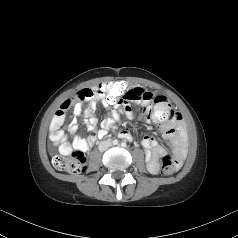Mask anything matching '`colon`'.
Returning a JSON list of instances; mask_svg holds the SVG:
<instances>
[{"mask_svg":"<svg viewBox=\"0 0 238 238\" xmlns=\"http://www.w3.org/2000/svg\"><path fill=\"white\" fill-rule=\"evenodd\" d=\"M127 91L128 87L122 80H103V84L78 91L72 100L84 101L95 96H102L107 99L108 103H119ZM149 114L157 122H167L175 116L171 104L164 96L154 97L153 109L149 111ZM53 165L60 171L80 174L85 170L86 159L81 151H74L65 156H55ZM177 167L178 162L174 157L170 154L163 156L160 168L161 174L170 175L176 171Z\"/></svg>","mask_w":238,"mask_h":238,"instance_id":"obj_1","label":"colon"}]
</instances>
